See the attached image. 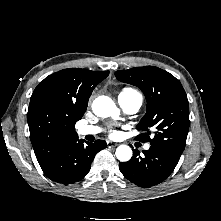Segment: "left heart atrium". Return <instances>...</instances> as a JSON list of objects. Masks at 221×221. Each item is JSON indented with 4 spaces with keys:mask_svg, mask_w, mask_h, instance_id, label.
Instances as JSON below:
<instances>
[{
    "mask_svg": "<svg viewBox=\"0 0 221 221\" xmlns=\"http://www.w3.org/2000/svg\"><path fill=\"white\" fill-rule=\"evenodd\" d=\"M111 135H112V136H116L117 133H116L115 131H113V132H111Z\"/></svg>",
    "mask_w": 221,
    "mask_h": 221,
    "instance_id": "1",
    "label": "left heart atrium"
}]
</instances>
